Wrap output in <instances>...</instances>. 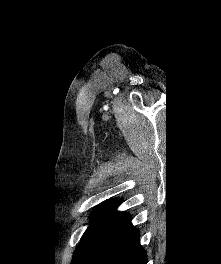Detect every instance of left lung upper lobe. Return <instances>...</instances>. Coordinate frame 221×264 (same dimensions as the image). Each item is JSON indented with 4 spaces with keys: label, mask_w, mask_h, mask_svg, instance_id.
I'll return each mask as SVG.
<instances>
[{
    "label": "left lung upper lobe",
    "mask_w": 221,
    "mask_h": 264,
    "mask_svg": "<svg viewBox=\"0 0 221 264\" xmlns=\"http://www.w3.org/2000/svg\"><path fill=\"white\" fill-rule=\"evenodd\" d=\"M120 200H109L105 203H103L101 206L94 209V211L91 214V218L94 219L86 232L83 234L81 240L91 231V229L100 222L111 210H113L115 207H117L120 204Z\"/></svg>",
    "instance_id": "obj_1"
}]
</instances>
